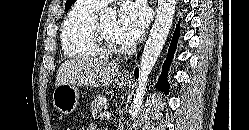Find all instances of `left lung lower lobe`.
<instances>
[{
    "mask_svg": "<svg viewBox=\"0 0 249 130\" xmlns=\"http://www.w3.org/2000/svg\"><path fill=\"white\" fill-rule=\"evenodd\" d=\"M179 35H180V29H179V24H178L177 27H176V30L174 32V35H173L169 50H168L167 59L163 64L162 74L159 77L158 83L156 85V88H158L160 91H164L165 93H167L169 91V84L166 81L167 80V71H168L169 65H170V63L172 61L173 53H174V51L176 49V45H177ZM134 75H135L136 78H138V69H136L134 71Z\"/></svg>",
    "mask_w": 249,
    "mask_h": 130,
    "instance_id": "1",
    "label": "left lung lower lobe"
}]
</instances>
